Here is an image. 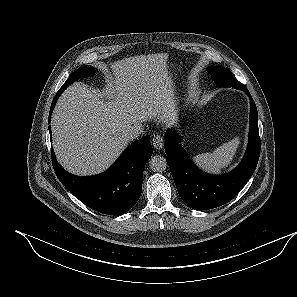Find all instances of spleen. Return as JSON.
Returning a JSON list of instances; mask_svg holds the SVG:
<instances>
[{
    "instance_id": "spleen-1",
    "label": "spleen",
    "mask_w": 297,
    "mask_h": 297,
    "mask_svg": "<svg viewBox=\"0 0 297 297\" xmlns=\"http://www.w3.org/2000/svg\"><path fill=\"white\" fill-rule=\"evenodd\" d=\"M239 143V138L235 137L231 141L215 149L213 153L199 154L195 156L193 160L202 169L212 173H219L222 168L231 163Z\"/></svg>"
}]
</instances>
